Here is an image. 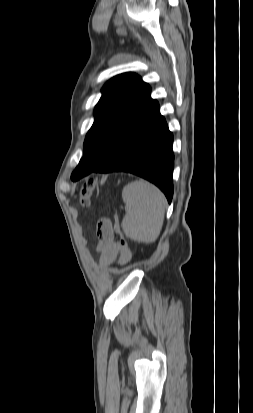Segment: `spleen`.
<instances>
[{"instance_id": "spleen-1", "label": "spleen", "mask_w": 253, "mask_h": 413, "mask_svg": "<svg viewBox=\"0 0 253 413\" xmlns=\"http://www.w3.org/2000/svg\"><path fill=\"white\" fill-rule=\"evenodd\" d=\"M126 214L123 218L124 234L137 242H154L162 229L166 198L153 184L137 180L122 191Z\"/></svg>"}]
</instances>
